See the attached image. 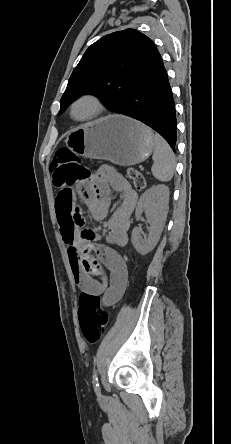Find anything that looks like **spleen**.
<instances>
[{
  "label": "spleen",
  "mask_w": 231,
  "mask_h": 444,
  "mask_svg": "<svg viewBox=\"0 0 231 444\" xmlns=\"http://www.w3.org/2000/svg\"><path fill=\"white\" fill-rule=\"evenodd\" d=\"M154 164L151 168L154 177L160 181H169L174 175L176 160L169 144L158 134L154 135Z\"/></svg>",
  "instance_id": "3e777b00"
}]
</instances>
